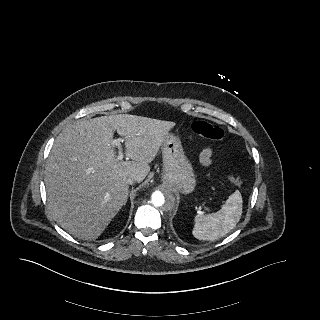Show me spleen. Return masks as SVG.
Returning a JSON list of instances; mask_svg holds the SVG:
<instances>
[{
  "label": "spleen",
  "instance_id": "1",
  "mask_svg": "<svg viewBox=\"0 0 320 320\" xmlns=\"http://www.w3.org/2000/svg\"><path fill=\"white\" fill-rule=\"evenodd\" d=\"M242 196L235 191L216 213L196 215L192 234L199 240H216L231 231L242 215Z\"/></svg>",
  "mask_w": 320,
  "mask_h": 320
}]
</instances>
